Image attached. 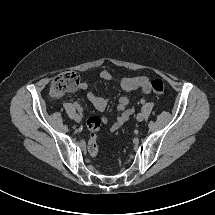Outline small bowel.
<instances>
[{
	"label": "small bowel",
	"instance_id": "1",
	"mask_svg": "<svg viewBox=\"0 0 215 215\" xmlns=\"http://www.w3.org/2000/svg\"><path fill=\"white\" fill-rule=\"evenodd\" d=\"M99 78L105 82L114 81L113 75L107 70L101 71ZM119 86L125 94L119 99L117 106L118 116L116 122L111 125V131H117L122 128L133 112V107L129 104L127 93L133 90H141L145 94L149 93L150 80L146 76L124 77L119 80ZM80 88L87 92V99L98 112H103L106 109L109 102L107 98L89 90L87 82H82ZM103 122L106 123V118L103 119Z\"/></svg>",
	"mask_w": 215,
	"mask_h": 215
}]
</instances>
